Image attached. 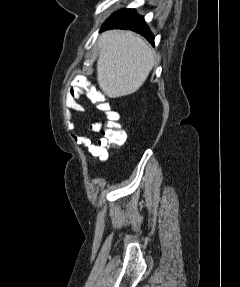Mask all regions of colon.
Instances as JSON below:
<instances>
[{"instance_id":"5ec220e1","label":"colon","mask_w":240,"mask_h":287,"mask_svg":"<svg viewBox=\"0 0 240 287\" xmlns=\"http://www.w3.org/2000/svg\"><path fill=\"white\" fill-rule=\"evenodd\" d=\"M92 101L98 105V108L106 113L108 121L102 132L107 144L122 145L126 141V133L119 123L120 115L111 109L110 104L105 101L104 97L97 92H91Z\"/></svg>"}]
</instances>
